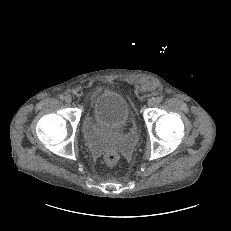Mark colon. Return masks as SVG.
I'll list each match as a JSON object with an SVG mask.
<instances>
[{
    "instance_id": "colon-1",
    "label": "colon",
    "mask_w": 231,
    "mask_h": 231,
    "mask_svg": "<svg viewBox=\"0 0 231 231\" xmlns=\"http://www.w3.org/2000/svg\"><path fill=\"white\" fill-rule=\"evenodd\" d=\"M149 83L146 82L145 85H148ZM120 159V154L117 150L111 149L108 150L104 155V160L109 165L116 164Z\"/></svg>"
}]
</instances>
